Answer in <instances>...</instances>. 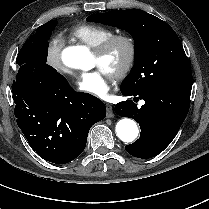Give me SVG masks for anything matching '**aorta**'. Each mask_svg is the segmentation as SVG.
Here are the masks:
<instances>
[{
    "mask_svg": "<svg viewBox=\"0 0 209 209\" xmlns=\"http://www.w3.org/2000/svg\"><path fill=\"white\" fill-rule=\"evenodd\" d=\"M62 62L69 68L90 70L93 66L89 49L83 45L67 47L62 52ZM116 135L123 142H133L139 133L136 122L129 118L119 120L115 127Z\"/></svg>",
    "mask_w": 209,
    "mask_h": 209,
    "instance_id": "1",
    "label": "aorta"
}]
</instances>
